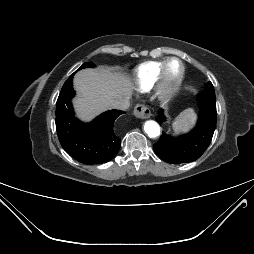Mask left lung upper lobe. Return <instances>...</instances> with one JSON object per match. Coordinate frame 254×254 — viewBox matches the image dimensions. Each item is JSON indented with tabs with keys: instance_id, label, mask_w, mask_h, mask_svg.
Returning <instances> with one entry per match:
<instances>
[{
	"instance_id": "5c2ea615",
	"label": "left lung upper lobe",
	"mask_w": 254,
	"mask_h": 254,
	"mask_svg": "<svg viewBox=\"0 0 254 254\" xmlns=\"http://www.w3.org/2000/svg\"><path fill=\"white\" fill-rule=\"evenodd\" d=\"M205 92L207 93H215L213 85L211 82L205 84Z\"/></svg>"
}]
</instances>
